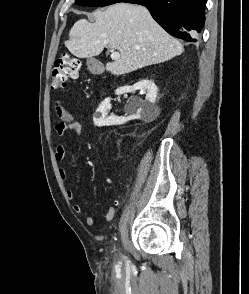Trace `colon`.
<instances>
[{
  "mask_svg": "<svg viewBox=\"0 0 249 294\" xmlns=\"http://www.w3.org/2000/svg\"><path fill=\"white\" fill-rule=\"evenodd\" d=\"M79 74V61L69 54L60 55L53 66L51 80L54 89L63 88L69 79H76Z\"/></svg>",
  "mask_w": 249,
  "mask_h": 294,
  "instance_id": "5ec220e1",
  "label": "colon"
}]
</instances>
